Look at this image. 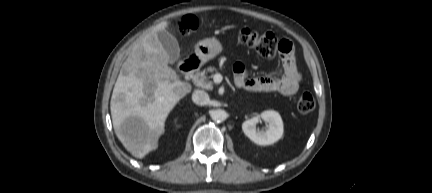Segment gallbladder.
Masks as SVG:
<instances>
[{
  "label": "gallbladder",
  "mask_w": 432,
  "mask_h": 193,
  "mask_svg": "<svg viewBox=\"0 0 432 193\" xmlns=\"http://www.w3.org/2000/svg\"><path fill=\"white\" fill-rule=\"evenodd\" d=\"M157 37L169 56V63L176 62L180 57V48L177 39L166 30L158 31Z\"/></svg>",
  "instance_id": "obj_1"
}]
</instances>
